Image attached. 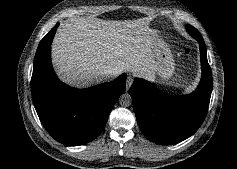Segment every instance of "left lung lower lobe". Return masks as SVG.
Returning <instances> with one entry per match:
<instances>
[{
    "mask_svg": "<svg viewBox=\"0 0 237 169\" xmlns=\"http://www.w3.org/2000/svg\"><path fill=\"white\" fill-rule=\"evenodd\" d=\"M200 46L202 78L198 88L190 95L171 96L143 79H135L130 95L138 124L152 142L164 145L181 142L202 124L212 92V74L207 51L200 35L187 28Z\"/></svg>",
    "mask_w": 237,
    "mask_h": 169,
    "instance_id": "0a47b994",
    "label": "left lung lower lobe"
}]
</instances>
